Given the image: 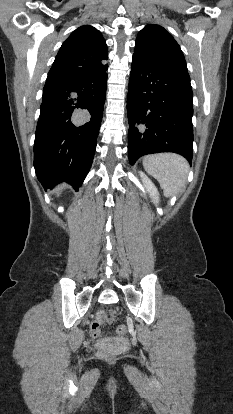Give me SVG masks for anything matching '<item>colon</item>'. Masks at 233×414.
I'll return each instance as SVG.
<instances>
[{
	"label": "colon",
	"mask_w": 233,
	"mask_h": 414,
	"mask_svg": "<svg viewBox=\"0 0 233 414\" xmlns=\"http://www.w3.org/2000/svg\"><path fill=\"white\" fill-rule=\"evenodd\" d=\"M111 314L112 313L110 311L109 312L100 311L97 313L95 319L93 320L90 326V333L93 338L101 337L102 335L101 325L104 321L109 320ZM127 331L128 329L126 325L122 324L117 327V333L121 336L125 335Z\"/></svg>",
	"instance_id": "obj_1"
}]
</instances>
